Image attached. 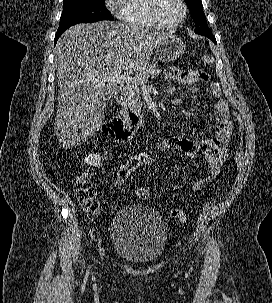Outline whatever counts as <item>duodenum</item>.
Masks as SVG:
<instances>
[{"label": "duodenum", "instance_id": "obj_1", "mask_svg": "<svg viewBox=\"0 0 272 303\" xmlns=\"http://www.w3.org/2000/svg\"><path fill=\"white\" fill-rule=\"evenodd\" d=\"M117 112L105 124L104 133L116 142L129 141L140 125V115L136 110L128 108L125 104L124 87L122 84L114 86Z\"/></svg>", "mask_w": 272, "mask_h": 303}]
</instances>
